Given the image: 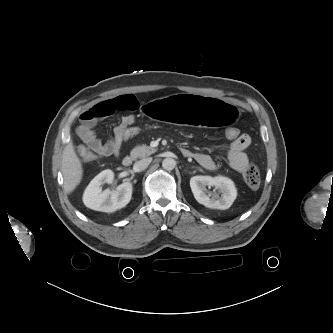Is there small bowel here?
Listing matches in <instances>:
<instances>
[{
	"label": "small bowel",
	"mask_w": 333,
	"mask_h": 333,
	"mask_svg": "<svg viewBox=\"0 0 333 333\" xmlns=\"http://www.w3.org/2000/svg\"><path fill=\"white\" fill-rule=\"evenodd\" d=\"M139 107L138 100L133 95H121L101 101L80 113V126L77 129L78 136L83 145L78 150H89L98 157L118 156L120 154L123 140L119 129L135 122L133 114L124 115L114 128L113 136L107 142L102 143L93 131L95 125L116 112H133ZM250 137L242 134L238 139L233 140L228 150V162L231 168L243 173L248 166L249 160L246 149L250 145ZM192 157L205 169L214 170L216 163L212 157L205 153H192Z\"/></svg>",
	"instance_id": "obj_1"
}]
</instances>
